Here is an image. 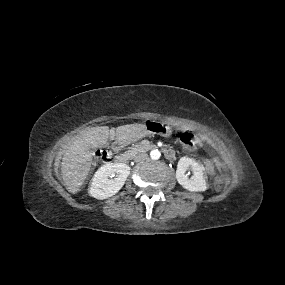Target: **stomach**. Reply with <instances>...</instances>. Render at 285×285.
Listing matches in <instances>:
<instances>
[{
  "mask_svg": "<svg viewBox=\"0 0 285 285\" xmlns=\"http://www.w3.org/2000/svg\"><path fill=\"white\" fill-rule=\"evenodd\" d=\"M145 126H146V129L143 135L138 136L136 139L144 137L148 134H155V133H159L160 135L166 136L171 132L170 127L164 124H161L159 122L146 123Z\"/></svg>",
  "mask_w": 285,
  "mask_h": 285,
  "instance_id": "0dacf381",
  "label": "stomach"
}]
</instances>
